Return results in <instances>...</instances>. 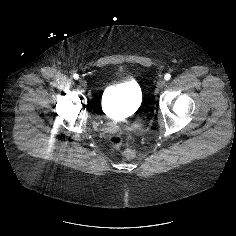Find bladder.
<instances>
[{"label": "bladder", "instance_id": "1", "mask_svg": "<svg viewBox=\"0 0 236 236\" xmlns=\"http://www.w3.org/2000/svg\"><path fill=\"white\" fill-rule=\"evenodd\" d=\"M142 90L138 83L125 81L106 87L102 95V109L114 113L135 111L141 107Z\"/></svg>", "mask_w": 236, "mask_h": 236}]
</instances>
